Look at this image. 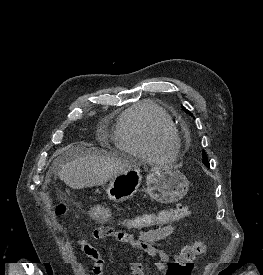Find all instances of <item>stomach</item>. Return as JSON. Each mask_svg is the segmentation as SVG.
<instances>
[{
	"mask_svg": "<svg viewBox=\"0 0 263 275\" xmlns=\"http://www.w3.org/2000/svg\"><path fill=\"white\" fill-rule=\"evenodd\" d=\"M142 182L140 164H135L110 179L107 186L108 197L115 202H123L134 196ZM149 196L160 203H173L183 198L189 187L186 176L167 166L153 167L146 178Z\"/></svg>",
	"mask_w": 263,
	"mask_h": 275,
	"instance_id": "obj_1",
	"label": "stomach"
}]
</instances>
